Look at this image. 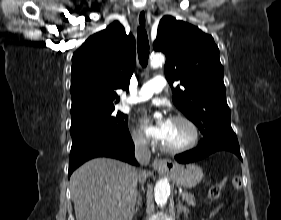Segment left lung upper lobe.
I'll return each mask as SVG.
<instances>
[{"instance_id":"obj_1","label":"left lung upper lobe","mask_w":281,"mask_h":220,"mask_svg":"<svg viewBox=\"0 0 281 220\" xmlns=\"http://www.w3.org/2000/svg\"><path fill=\"white\" fill-rule=\"evenodd\" d=\"M154 49L166 55L165 76L174 104L198 126L204 138L236 137L226 102L223 66L211 35L172 16L158 26ZM180 81L181 87L173 88Z\"/></svg>"}]
</instances>
